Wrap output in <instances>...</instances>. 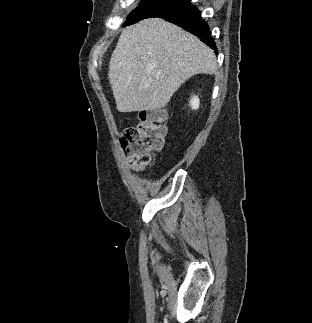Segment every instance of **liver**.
<instances>
[{
    "instance_id": "1",
    "label": "liver",
    "mask_w": 312,
    "mask_h": 323,
    "mask_svg": "<svg viewBox=\"0 0 312 323\" xmlns=\"http://www.w3.org/2000/svg\"><path fill=\"white\" fill-rule=\"evenodd\" d=\"M216 56L199 38L161 18L122 30L109 62L118 112L157 110L195 74H215Z\"/></svg>"
}]
</instances>
